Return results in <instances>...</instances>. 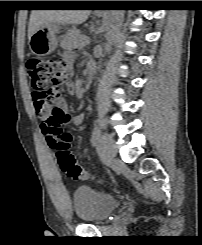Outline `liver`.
<instances>
[{
	"label": "liver",
	"instance_id": "obj_1",
	"mask_svg": "<svg viewBox=\"0 0 202 245\" xmlns=\"http://www.w3.org/2000/svg\"><path fill=\"white\" fill-rule=\"evenodd\" d=\"M89 15L90 10H32L28 25V39L45 24H82Z\"/></svg>",
	"mask_w": 202,
	"mask_h": 245
}]
</instances>
